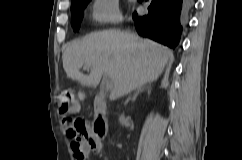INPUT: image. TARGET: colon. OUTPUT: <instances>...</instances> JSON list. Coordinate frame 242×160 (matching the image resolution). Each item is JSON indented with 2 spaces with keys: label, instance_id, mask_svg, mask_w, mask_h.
Instances as JSON below:
<instances>
[{
  "label": "colon",
  "instance_id": "5ec220e1",
  "mask_svg": "<svg viewBox=\"0 0 242 160\" xmlns=\"http://www.w3.org/2000/svg\"><path fill=\"white\" fill-rule=\"evenodd\" d=\"M58 106L60 113L64 116L62 122L65 126L66 132L71 138H73V147L78 148L80 140L86 135V122L81 118H75L68 115L76 112L78 107L71 90H60L58 94ZM99 150V142H94L93 149L90 153H97ZM79 157L81 158L80 160H83L84 158L82 154H79Z\"/></svg>",
  "mask_w": 242,
  "mask_h": 160
}]
</instances>
